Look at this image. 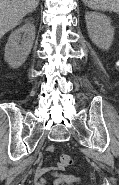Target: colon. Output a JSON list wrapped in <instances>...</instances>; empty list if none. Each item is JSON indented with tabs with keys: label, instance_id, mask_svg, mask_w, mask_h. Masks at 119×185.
Wrapping results in <instances>:
<instances>
[{
	"label": "colon",
	"instance_id": "1",
	"mask_svg": "<svg viewBox=\"0 0 119 185\" xmlns=\"http://www.w3.org/2000/svg\"><path fill=\"white\" fill-rule=\"evenodd\" d=\"M74 163L73 161V158L70 156V155H67V154H62L60 157H59V164L62 166V167H69V166H72ZM78 182V179L77 178H74L72 181H69L67 183V185H74L75 183Z\"/></svg>",
	"mask_w": 119,
	"mask_h": 185
}]
</instances>
